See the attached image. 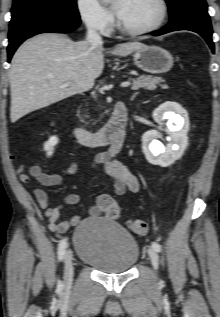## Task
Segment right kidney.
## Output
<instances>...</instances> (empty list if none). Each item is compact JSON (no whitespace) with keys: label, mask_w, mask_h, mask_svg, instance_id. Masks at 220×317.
<instances>
[{"label":"right kidney","mask_w":220,"mask_h":317,"mask_svg":"<svg viewBox=\"0 0 220 317\" xmlns=\"http://www.w3.org/2000/svg\"><path fill=\"white\" fill-rule=\"evenodd\" d=\"M59 139L56 136H52L44 144V150L47 152V156H52L54 147L58 144Z\"/></svg>","instance_id":"right-kidney-1"}]
</instances>
